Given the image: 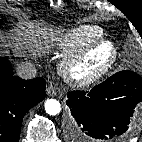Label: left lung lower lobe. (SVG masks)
<instances>
[{
    "label": "left lung lower lobe",
    "mask_w": 142,
    "mask_h": 142,
    "mask_svg": "<svg viewBox=\"0 0 142 142\" xmlns=\"http://www.w3.org/2000/svg\"><path fill=\"white\" fill-rule=\"evenodd\" d=\"M67 105L74 118L70 138L74 142H124L131 120L142 101V77L120 71L88 93L72 91Z\"/></svg>",
    "instance_id": "1"
}]
</instances>
